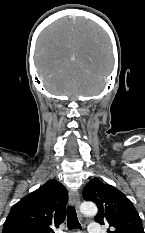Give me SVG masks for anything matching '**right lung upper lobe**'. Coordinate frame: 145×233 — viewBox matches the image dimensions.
<instances>
[{
  "instance_id": "right-lung-upper-lobe-1",
  "label": "right lung upper lobe",
  "mask_w": 145,
  "mask_h": 233,
  "mask_svg": "<svg viewBox=\"0 0 145 233\" xmlns=\"http://www.w3.org/2000/svg\"><path fill=\"white\" fill-rule=\"evenodd\" d=\"M67 200L66 188L49 180L11 208L2 233H54L51 227L65 220Z\"/></svg>"
}]
</instances>
